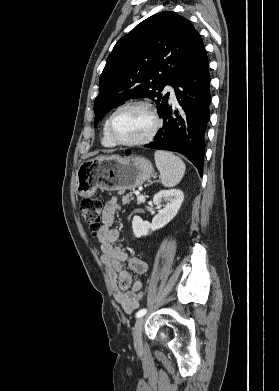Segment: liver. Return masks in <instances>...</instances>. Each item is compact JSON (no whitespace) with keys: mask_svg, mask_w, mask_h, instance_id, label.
I'll return each instance as SVG.
<instances>
[{"mask_svg":"<svg viewBox=\"0 0 279 391\" xmlns=\"http://www.w3.org/2000/svg\"><path fill=\"white\" fill-rule=\"evenodd\" d=\"M102 157H104V156H99V157H97V158H102Z\"/></svg>","mask_w":279,"mask_h":391,"instance_id":"6515ba94","label":"liver"}]
</instances>
